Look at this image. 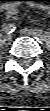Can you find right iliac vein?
<instances>
[{
	"label": "right iliac vein",
	"instance_id": "63e3f726",
	"mask_svg": "<svg viewBox=\"0 0 50 111\" xmlns=\"http://www.w3.org/2000/svg\"><path fill=\"white\" fill-rule=\"evenodd\" d=\"M12 34L8 33L6 36H5V40L6 41H10L12 39Z\"/></svg>",
	"mask_w": 50,
	"mask_h": 111
}]
</instances>
